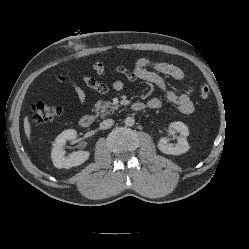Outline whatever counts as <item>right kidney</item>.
I'll return each instance as SVG.
<instances>
[{
  "instance_id": "obj_1",
  "label": "right kidney",
  "mask_w": 249,
  "mask_h": 249,
  "mask_svg": "<svg viewBox=\"0 0 249 249\" xmlns=\"http://www.w3.org/2000/svg\"><path fill=\"white\" fill-rule=\"evenodd\" d=\"M76 136H77L76 130L68 129L59 134L55 139L53 144V149L51 151V157L53 165L56 168L68 169L74 166H78L84 163L89 158L90 156L89 151L73 152L69 156H65L66 153L63 150V146L67 141L75 139Z\"/></svg>"
}]
</instances>
